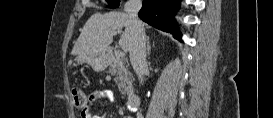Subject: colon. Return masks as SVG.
<instances>
[{"label":"colon","instance_id":"colon-1","mask_svg":"<svg viewBox=\"0 0 273 118\" xmlns=\"http://www.w3.org/2000/svg\"><path fill=\"white\" fill-rule=\"evenodd\" d=\"M72 99L75 107L83 108L87 104V98L82 90L78 88H74L72 90Z\"/></svg>","mask_w":273,"mask_h":118}]
</instances>
